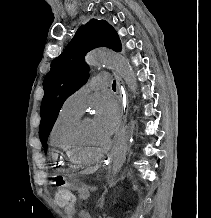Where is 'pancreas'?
I'll use <instances>...</instances> for the list:
<instances>
[{
    "label": "pancreas",
    "instance_id": "1",
    "mask_svg": "<svg viewBox=\"0 0 211 218\" xmlns=\"http://www.w3.org/2000/svg\"><path fill=\"white\" fill-rule=\"evenodd\" d=\"M78 196L81 200H87L90 196L88 186H82V188H78Z\"/></svg>",
    "mask_w": 211,
    "mask_h": 218
}]
</instances>
